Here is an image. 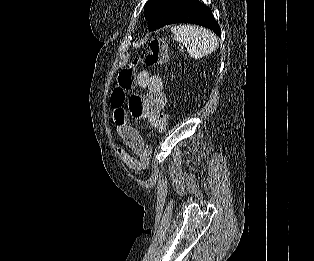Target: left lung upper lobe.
<instances>
[{"label": "left lung upper lobe", "mask_w": 314, "mask_h": 261, "mask_svg": "<svg viewBox=\"0 0 314 261\" xmlns=\"http://www.w3.org/2000/svg\"><path fill=\"white\" fill-rule=\"evenodd\" d=\"M184 0H149L144 6L150 31L165 26L178 11Z\"/></svg>", "instance_id": "1"}]
</instances>
